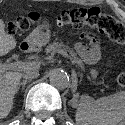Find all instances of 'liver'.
<instances>
[{"label":"liver","mask_w":125,"mask_h":125,"mask_svg":"<svg viewBox=\"0 0 125 125\" xmlns=\"http://www.w3.org/2000/svg\"><path fill=\"white\" fill-rule=\"evenodd\" d=\"M16 47L15 38L7 34L5 24L0 19V56L7 54ZM22 73L2 72L0 73V119L5 118L13 108V99L20 83Z\"/></svg>","instance_id":"obj_1"}]
</instances>
